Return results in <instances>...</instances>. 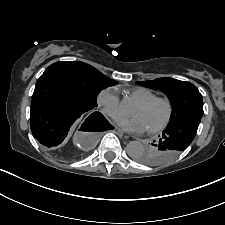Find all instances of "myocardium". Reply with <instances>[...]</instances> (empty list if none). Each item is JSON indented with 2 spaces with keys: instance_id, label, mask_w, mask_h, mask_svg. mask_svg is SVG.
I'll list each match as a JSON object with an SVG mask.
<instances>
[{
  "instance_id": "myocardium-1",
  "label": "myocardium",
  "mask_w": 225,
  "mask_h": 225,
  "mask_svg": "<svg viewBox=\"0 0 225 225\" xmlns=\"http://www.w3.org/2000/svg\"><path fill=\"white\" fill-rule=\"evenodd\" d=\"M157 102H162L166 105L167 116L160 125L147 129L149 133H157V132L164 130L169 125V123L171 122L172 117H173V112H174L173 104H172L171 100L167 97L155 96L146 101L138 102L137 105H139L141 107H149Z\"/></svg>"
}]
</instances>
